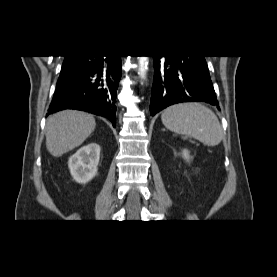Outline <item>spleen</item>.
<instances>
[{
  "label": "spleen",
  "mask_w": 277,
  "mask_h": 277,
  "mask_svg": "<svg viewBox=\"0 0 277 277\" xmlns=\"http://www.w3.org/2000/svg\"><path fill=\"white\" fill-rule=\"evenodd\" d=\"M161 120L167 129L193 137L208 146L218 145L223 138L217 116L199 103L170 106L163 111Z\"/></svg>",
  "instance_id": "1"
}]
</instances>
